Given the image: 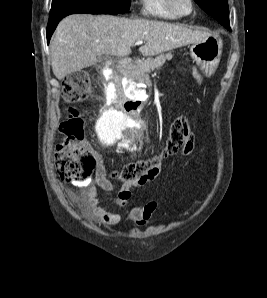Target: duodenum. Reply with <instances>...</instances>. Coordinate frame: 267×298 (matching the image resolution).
I'll list each match as a JSON object with an SVG mask.
<instances>
[{"label": "duodenum", "instance_id": "1", "mask_svg": "<svg viewBox=\"0 0 267 298\" xmlns=\"http://www.w3.org/2000/svg\"><path fill=\"white\" fill-rule=\"evenodd\" d=\"M132 61L129 58L120 60L118 67H114V75H110L111 84H107V89L115 92L117 101H112L113 112H119V115H143L145 104L143 100L136 97H128L126 94V85L122 82V76H129V67Z\"/></svg>", "mask_w": 267, "mask_h": 298}]
</instances>
